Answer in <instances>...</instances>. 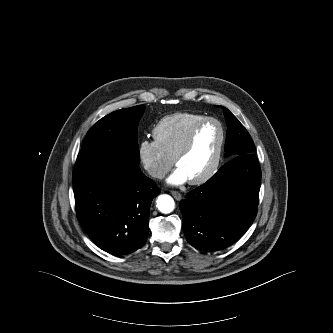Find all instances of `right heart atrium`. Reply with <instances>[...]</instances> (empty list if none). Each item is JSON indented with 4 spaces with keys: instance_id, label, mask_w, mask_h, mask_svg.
Segmentation results:
<instances>
[{
    "instance_id": "d8ad5b80",
    "label": "right heart atrium",
    "mask_w": 333,
    "mask_h": 333,
    "mask_svg": "<svg viewBox=\"0 0 333 333\" xmlns=\"http://www.w3.org/2000/svg\"><path fill=\"white\" fill-rule=\"evenodd\" d=\"M137 151L141 165L153 179H162L172 166V160L160 150L155 141L142 140Z\"/></svg>"
}]
</instances>
